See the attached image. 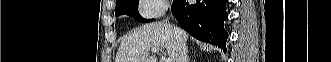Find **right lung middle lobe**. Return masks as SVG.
I'll return each instance as SVG.
<instances>
[{
	"instance_id": "dd1d6c3e",
	"label": "right lung middle lobe",
	"mask_w": 331,
	"mask_h": 62,
	"mask_svg": "<svg viewBox=\"0 0 331 62\" xmlns=\"http://www.w3.org/2000/svg\"><path fill=\"white\" fill-rule=\"evenodd\" d=\"M177 0H173L172 6L176 3ZM138 6V2L136 0H119L116 2L115 7V16L118 17L120 15H128L129 17H133L137 21L141 22H150L153 19H143L136 12V7Z\"/></svg>"
}]
</instances>
